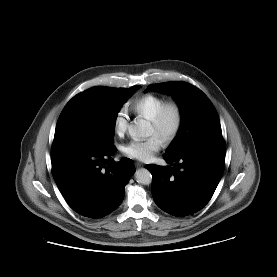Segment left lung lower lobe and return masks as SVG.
I'll list each match as a JSON object with an SVG mask.
<instances>
[{"mask_svg": "<svg viewBox=\"0 0 277 277\" xmlns=\"http://www.w3.org/2000/svg\"><path fill=\"white\" fill-rule=\"evenodd\" d=\"M170 166L148 164L152 196L159 208L173 216H187L202 209L211 199L224 172L223 138L204 140L180 157H164Z\"/></svg>", "mask_w": 277, "mask_h": 277, "instance_id": "1", "label": "left lung lower lobe"}]
</instances>
